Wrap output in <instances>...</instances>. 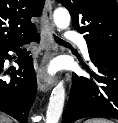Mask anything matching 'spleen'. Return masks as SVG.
I'll return each instance as SVG.
<instances>
[{
    "instance_id": "1",
    "label": "spleen",
    "mask_w": 118,
    "mask_h": 123,
    "mask_svg": "<svg viewBox=\"0 0 118 123\" xmlns=\"http://www.w3.org/2000/svg\"><path fill=\"white\" fill-rule=\"evenodd\" d=\"M85 123H113L105 118H91L85 121Z\"/></svg>"
}]
</instances>
